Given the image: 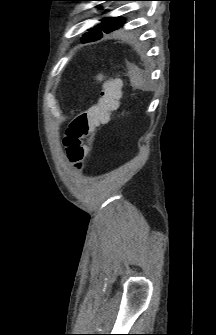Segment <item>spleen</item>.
Returning <instances> with one entry per match:
<instances>
[{
    "instance_id": "1",
    "label": "spleen",
    "mask_w": 216,
    "mask_h": 335,
    "mask_svg": "<svg viewBox=\"0 0 216 335\" xmlns=\"http://www.w3.org/2000/svg\"><path fill=\"white\" fill-rule=\"evenodd\" d=\"M128 75L132 87L143 90L147 88L146 78L139 67L134 64L130 65Z\"/></svg>"
}]
</instances>
